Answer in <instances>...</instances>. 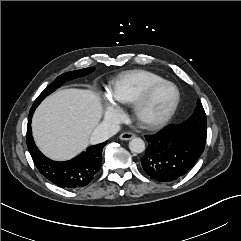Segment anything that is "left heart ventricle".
Here are the masks:
<instances>
[{"mask_svg": "<svg viewBox=\"0 0 241 241\" xmlns=\"http://www.w3.org/2000/svg\"><path fill=\"white\" fill-rule=\"evenodd\" d=\"M175 89L171 86L161 87L148 104L145 115L148 118H159L166 113L175 99Z\"/></svg>", "mask_w": 241, "mask_h": 241, "instance_id": "b2bd125f", "label": "left heart ventricle"}]
</instances>
